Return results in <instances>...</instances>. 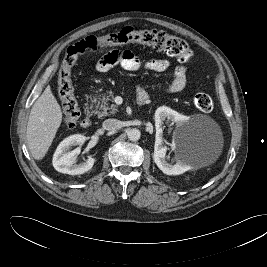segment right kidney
Instances as JSON below:
<instances>
[{
	"label": "right kidney",
	"instance_id": "ca27d5eb",
	"mask_svg": "<svg viewBox=\"0 0 267 267\" xmlns=\"http://www.w3.org/2000/svg\"><path fill=\"white\" fill-rule=\"evenodd\" d=\"M86 137L81 134L71 135L65 138L57 147L53 156V166L61 173L69 175L83 174L89 171L94 163L95 158L89 156L86 162L76 164L77 156L80 154V147L69 151L74 145H83Z\"/></svg>",
	"mask_w": 267,
	"mask_h": 267
}]
</instances>
